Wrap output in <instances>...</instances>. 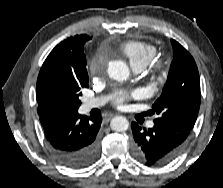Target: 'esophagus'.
Wrapping results in <instances>:
<instances>
[{"label":"esophagus","mask_w":223,"mask_h":188,"mask_svg":"<svg viewBox=\"0 0 223 188\" xmlns=\"http://www.w3.org/2000/svg\"><path fill=\"white\" fill-rule=\"evenodd\" d=\"M113 117V115H111V116H108L105 120L108 122V121H110V119Z\"/></svg>","instance_id":"esophagus-1"}]
</instances>
